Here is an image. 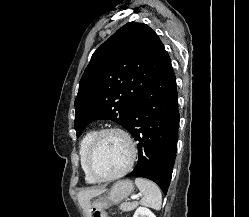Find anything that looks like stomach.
Segmentation results:
<instances>
[{"instance_id":"obj_1","label":"stomach","mask_w":249,"mask_h":217,"mask_svg":"<svg viewBox=\"0 0 249 217\" xmlns=\"http://www.w3.org/2000/svg\"><path fill=\"white\" fill-rule=\"evenodd\" d=\"M134 191V185L130 180L116 182L105 198H99L93 204L96 213H102L111 205L119 204Z\"/></svg>"}]
</instances>
